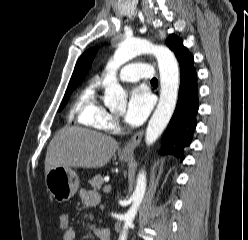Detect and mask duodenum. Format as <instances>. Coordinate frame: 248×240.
<instances>
[{
  "mask_svg": "<svg viewBox=\"0 0 248 240\" xmlns=\"http://www.w3.org/2000/svg\"><path fill=\"white\" fill-rule=\"evenodd\" d=\"M98 237L100 240H112L111 233L105 229L98 231Z\"/></svg>",
  "mask_w": 248,
  "mask_h": 240,
  "instance_id": "duodenum-1",
  "label": "duodenum"
}]
</instances>
